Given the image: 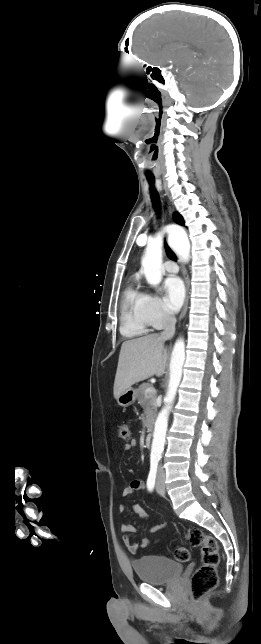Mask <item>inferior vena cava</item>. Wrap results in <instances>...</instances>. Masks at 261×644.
<instances>
[{
  "label": "inferior vena cava",
  "mask_w": 261,
  "mask_h": 644,
  "mask_svg": "<svg viewBox=\"0 0 261 644\" xmlns=\"http://www.w3.org/2000/svg\"><path fill=\"white\" fill-rule=\"evenodd\" d=\"M166 326L164 331L161 333V337L166 339L169 338L175 330V323H176V318L174 316H171L169 314L166 315ZM164 471L162 467L158 468V474H163Z\"/></svg>",
  "instance_id": "obj_1"
}]
</instances>
